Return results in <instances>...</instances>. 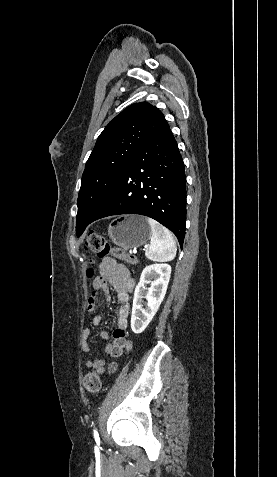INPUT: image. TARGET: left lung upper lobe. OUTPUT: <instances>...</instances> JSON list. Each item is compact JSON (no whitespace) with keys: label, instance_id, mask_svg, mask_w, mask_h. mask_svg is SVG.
Masks as SVG:
<instances>
[{"label":"left lung upper lobe","instance_id":"1","mask_svg":"<svg viewBox=\"0 0 277 477\" xmlns=\"http://www.w3.org/2000/svg\"><path fill=\"white\" fill-rule=\"evenodd\" d=\"M167 125L158 108L141 102L128 106L105 127L82 175L76 235L102 206L125 165Z\"/></svg>","mask_w":277,"mask_h":477}]
</instances>
